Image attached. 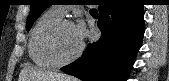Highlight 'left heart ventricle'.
<instances>
[{"instance_id":"obj_1","label":"left heart ventricle","mask_w":169,"mask_h":81,"mask_svg":"<svg viewBox=\"0 0 169 81\" xmlns=\"http://www.w3.org/2000/svg\"><path fill=\"white\" fill-rule=\"evenodd\" d=\"M80 44L74 26L65 25L61 28L56 41L57 52L61 58L66 59L72 56L79 49Z\"/></svg>"}]
</instances>
